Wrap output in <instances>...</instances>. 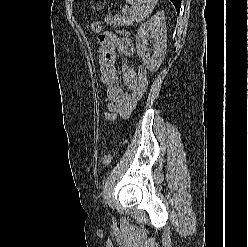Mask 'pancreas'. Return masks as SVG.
<instances>
[{
  "label": "pancreas",
  "instance_id": "pancreas-1",
  "mask_svg": "<svg viewBox=\"0 0 248 247\" xmlns=\"http://www.w3.org/2000/svg\"><path fill=\"white\" fill-rule=\"evenodd\" d=\"M110 24H112L114 27H120L123 25H130V21L125 16H116L110 21Z\"/></svg>",
  "mask_w": 248,
  "mask_h": 247
}]
</instances>
